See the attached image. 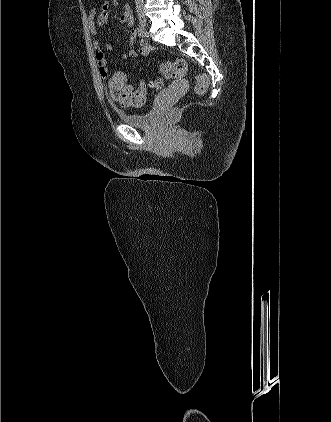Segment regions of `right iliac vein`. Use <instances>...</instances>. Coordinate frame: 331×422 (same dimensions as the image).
<instances>
[{"label":"right iliac vein","instance_id":"1","mask_svg":"<svg viewBox=\"0 0 331 422\" xmlns=\"http://www.w3.org/2000/svg\"><path fill=\"white\" fill-rule=\"evenodd\" d=\"M139 21L142 27H146L147 21L146 18L144 16H140L139 17Z\"/></svg>","mask_w":331,"mask_h":422}]
</instances>
